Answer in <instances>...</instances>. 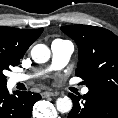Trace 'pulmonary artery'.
I'll return each mask as SVG.
<instances>
[{
  "instance_id": "pulmonary-artery-1",
  "label": "pulmonary artery",
  "mask_w": 118,
  "mask_h": 118,
  "mask_svg": "<svg viewBox=\"0 0 118 118\" xmlns=\"http://www.w3.org/2000/svg\"><path fill=\"white\" fill-rule=\"evenodd\" d=\"M74 51V45L69 40H61L56 39L51 43V52H52V65L51 68L53 69H60L64 67L72 53ZM34 75H26V74H12L10 76V83L12 85L26 82L32 79ZM89 89L87 87L82 89V94H87Z\"/></svg>"
}]
</instances>
